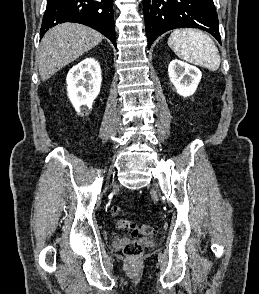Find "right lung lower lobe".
<instances>
[{
	"mask_svg": "<svg viewBox=\"0 0 259 294\" xmlns=\"http://www.w3.org/2000/svg\"><path fill=\"white\" fill-rule=\"evenodd\" d=\"M63 22H76L96 29L116 47L113 0H47L40 29L45 32Z\"/></svg>",
	"mask_w": 259,
	"mask_h": 294,
	"instance_id": "right-lung-lower-lobe-1",
	"label": "right lung lower lobe"
}]
</instances>
